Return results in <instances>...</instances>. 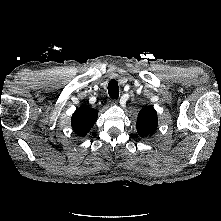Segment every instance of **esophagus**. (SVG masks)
Masks as SVG:
<instances>
[{
  "label": "esophagus",
  "mask_w": 221,
  "mask_h": 221,
  "mask_svg": "<svg viewBox=\"0 0 221 221\" xmlns=\"http://www.w3.org/2000/svg\"><path fill=\"white\" fill-rule=\"evenodd\" d=\"M116 103H117V100H112V101H111V104H112V105H114V104H116Z\"/></svg>",
  "instance_id": "34e87169"
}]
</instances>
